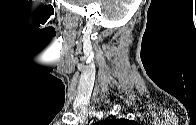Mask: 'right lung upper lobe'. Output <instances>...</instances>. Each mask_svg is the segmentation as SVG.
<instances>
[{
	"label": "right lung upper lobe",
	"mask_w": 196,
	"mask_h": 125,
	"mask_svg": "<svg viewBox=\"0 0 196 125\" xmlns=\"http://www.w3.org/2000/svg\"><path fill=\"white\" fill-rule=\"evenodd\" d=\"M117 121L125 122V123H127V122H128V121H126V120H116V119L110 120V122H117ZM104 122H105V121H104Z\"/></svg>",
	"instance_id": "1"
}]
</instances>
